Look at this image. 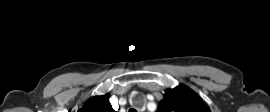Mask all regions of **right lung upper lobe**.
Returning <instances> with one entry per match:
<instances>
[{
    "mask_svg": "<svg viewBox=\"0 0 270 112\" xmlns=\"http://www.w3.org/2000/svg\"><path fill=\"white\" fill-rule=\"evenodd\" d=\"M108 94L91 98L78 112H117L109 103Z\"/></svg>",
    "mask_w": 270,
    "mask_h": 112,
    "instance_id": "cb5924a9",
    "label": "right lung upper lobe"
}]
</instances>
